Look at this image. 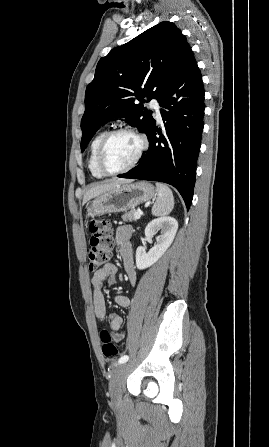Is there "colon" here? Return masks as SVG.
Masks as SVG:
<instances>
[{
  "label": "colon",
  "mask_w": 269,
  "mask_h": 447,
  "mask_svg": "<svg viewBox=\"0 0 269 447\" xmlns=\"http://www.w3.org/2000/svg\"><path fill=\"white\" fill-rule=\"evenodd\" d=\"M88 230L91 234L92 245L88 252V265L90 271H96L109 262L110 250L113 245L112 229L107 220L91 217ZM100 339L103 355L106 358L118 357L119 350L112 341L110 330L101 329Z\"/></svg>",
  "instance_id": "obj_1"
}]
</instances>
